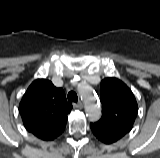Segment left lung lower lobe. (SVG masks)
Instances as JSON below:
<instances>
[{
  "label": "left lung lower lobe",
  "mask_w": 160,
  "mask_h": 158,
  "mask_svg": "<svg viewBox=\"0 0 160 158\" xmlns=\"http://www.w3.org/2000/svg\"><path fill=\"white\" fill-rule=\"evenodd\" d=\"M90 127H91L92 133L95 135V137L105 144H111V143L117 142L118 140H120L123 137L119 134H116L114 132H111V131L99 126L96 123H91Z\"/></svg>",
  "instance_id": "obj_1"
}]
</instances>
